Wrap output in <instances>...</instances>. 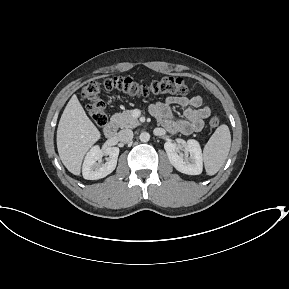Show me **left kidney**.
<instances>
[{
	"mask_svg": "<svg viewBox=\"0 0 289 289\" xmlns=\"http://www.w3.org/2000/svg\"><path fill=\"white\" fill-rule=\"evenodd\" d=\"M164 149L167 153L170 163L181 173L188 175H199L203 169L202 150L199 142L190 139L187 142L176 144L167 141L164 144ZM184 149L185 153L190 156L180 153Z\"/></svg>",
	"mask_w": 289,
	"mask_h": 289,
	"instance_id": "5707ae66",
	"label": "left kidney"
}]
</instances>
